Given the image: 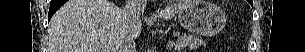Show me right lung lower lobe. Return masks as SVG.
Instances as JSON below:
<instances>
[{
    "label": "right lung lower lobe",
    "instance_id": "obj_1",
    "mask_svg": "<svg viewBox=\"0 0 305 52\" xmlns=\"http://www.w3.org/2000/svg\"><path fill=\"white\" fill-rule=\"evenodd\" d=\"M66 2V0H51L49 13H48V20L51 19L53 14Z\"/></svg>",
    "mask_w": 305,
    "mask_h": 52
}]
</instances>
